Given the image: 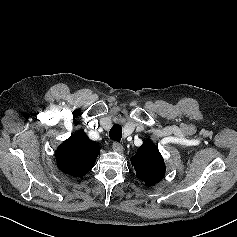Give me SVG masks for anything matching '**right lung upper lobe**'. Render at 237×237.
Returning <instances> with one entry per match:
<instances>
[{
  "label": "right lung upper lobe",
  "mask_w": 237,
  "mask_h": 237,
  "mask_svg": "<svg viewBox=\"0 0 237 237\" xmlns=\"http://www.w3.org/2000/svg\"><path fill=\"white\" fill-rule=\"evenodd\" d=\"M100 153V147L85 134L76 133L57 149L56 159L60 170L74 177L87 174Z\"/></svg>",
  "instance_id": "right-lung-upper-lobe-1"
}]
</instances>
